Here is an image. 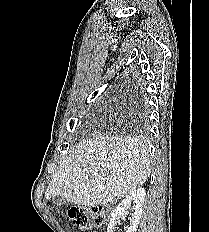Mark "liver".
<instances>
[{
    "mask_svg": "<svg viewBox=\"0 0 209 232\" xmlns=\"http://www.w3.org/2000/svg\"><path fill=\"white\" fill-rule=\"evenodd\" d=\"M151 173L149 150L138 137L94 135L61 163L45 192L75 205H107L129 195Z\"/></svg>",
    "mask_w": 209,
    "mask_h": 232,
    "instance_id": "obj_1",
    "label": "liver"
}]
</instances>
